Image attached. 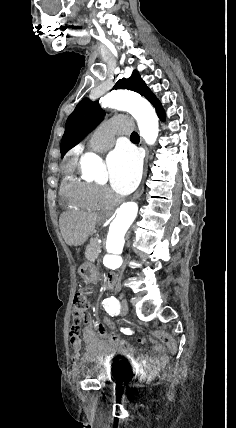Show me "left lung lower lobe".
Listing matches in <instances>:
<instances>
[{"mask_svg":"<svg viewBox=\"0 0 236 428\" xmlns=\"http://www.w3.org/2000/svg\"><path fill=\"white\" fill-rule=\"evenodd\" d=\"M156 111H157V114L160 117V119L164 120V118H165V112H164L163 108L160 107V108L156 109Z\"/></svg>","mask_w":236,"mask_h":428,"instance_id":"left-lung-lower-lobe-1","label":"left lung lower lobe"}]
</instances>
